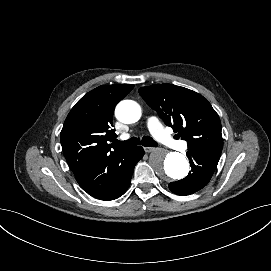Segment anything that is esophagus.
Here are the masks:
<instances>
[{"mask_svg":"<svg viewBox=\"0 0 271 271\" xmlns=\"http://www.w3.org/2000/svg\"><path fill=\"white\" fill-rule=\"evenodd\" d=\"M144 150L145 152L150 153L156 151L157 149L153 147H144Z\"/></svg>","mask_w":271,"mask_h":271,"instance_id":"esophagus-1","label":"esophagus"}]
</instances>
